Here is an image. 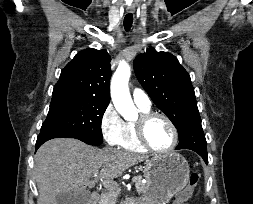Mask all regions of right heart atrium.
<instances>
[{"label": "right heart atrium", "mask_w": 253, "mask_h": 204, "mask_svg": "<svg viewBox=\"0 0 253 204\" xmlns=\"http://www.w3.org/2000/svg\"><path fill=\"white\" fill-rule=\"evenodd\" d=\"M126 129V122L120 117L115 107L110 104L104 110L100 120L103 139L109 145H120Z\"/></svg>", "instance_id": "d8ad5b80"}]
</instances>
